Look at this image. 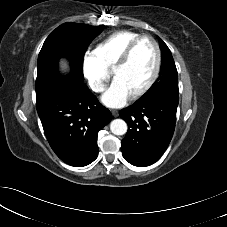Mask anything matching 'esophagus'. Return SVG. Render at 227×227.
<instances>
[{"label": "esophagus", "mask_w": 227, "mask_h": 227, "mask_svg": "<svg viewBox=\"0 0 227 227\" xmlns=\"http://www.w3.org/2000/svg\"><path fill=\"white\" fill-rule=\"evenodd\" d=\"M112 115H113L114 117H117V116H118V111H117V110H113V111H112Z\"/></svg>", "instance_id": "esophagus-1"}]
</instances>
